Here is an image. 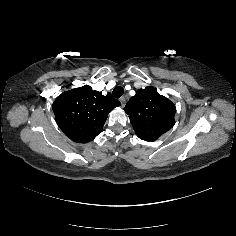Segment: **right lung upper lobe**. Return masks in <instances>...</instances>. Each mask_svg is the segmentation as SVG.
<instances>
[{"mask_svg": "<svg viewBox=\"0 0 236 236\" xmlns=\"http://www.w3.org/2000/svg\"><path fill=\"white\" fill-rule=\"evenodd\" d=\"M120 102L88 85L66 91L52 105L60 129L72 141L87 143L103 129L108 113Z\"/></svg>", "mask_w": 236, "mask_h": 236, "instance_id": "obj_1", "label": "right lung upper lobe"}]
</instances>
